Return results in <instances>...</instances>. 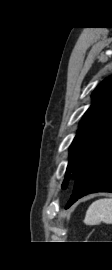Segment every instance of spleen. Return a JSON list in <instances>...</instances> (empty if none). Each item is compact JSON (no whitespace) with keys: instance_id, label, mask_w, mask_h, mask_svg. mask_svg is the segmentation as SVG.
I'll return each mask as SVG.
<instances>
[{"instance_id":"1","label":"spleen","mask_w":112,"mask_h":270,"mask_svg":"<svg viewBox=\"0 0 112 270\" xmlns=\"http://www.w3.org/2000/svg\"><path fill=\"white\" fill-rule=\"evenodd\" d=\"M84 222L87 225H96L104 222L112 224V199H98L88 208Z\"/></svg>"}]
</instances>
